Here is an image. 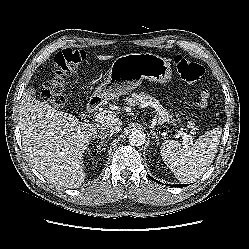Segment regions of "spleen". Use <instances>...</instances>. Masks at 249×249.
Wrapping results in <instances>:
<instances>
[{"mask_svg":"<svg viewBox=\"0 0 249 249\" xmlns=\"http://www.w3.org/2000/svg\"><path fill=\"white\" fill-rule=\"evenodd\" d=\"M221 133L219 127L208 131L191 148H185L174 140H166L160 148L162 159L179 181H195L213 162Z\"/></svg>","mask_w":249,"mask_h":249,"instance_id":"3e777b00","label":"spleen"}]
</instances>
